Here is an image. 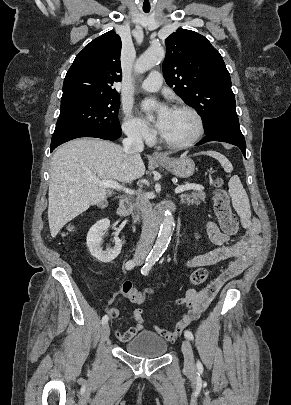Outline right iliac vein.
<instances>
[{
    "instance_id": "1",
    "label": "right iliac vein",
    "mask_w": 291,
    "mask_h": 405,
    "mask_svg": "<svg viewBox=\"0 0 291 405\" xmlns=\"http://www.w3.org/2000/svg\"><path fill=\"white\" fill-rule=\"evenodd\" d=\"M110 335V327L108 323H105L101 329V342H105Z\"/></svg>"
}]
</instances>
